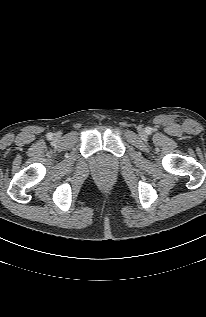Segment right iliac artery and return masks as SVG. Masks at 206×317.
<instances>
[{"label": "right iliac artery", "mask_w": 206, "mask_h": 317, "mask_svg": "<svg viewBox=\"0 0 206 317\" xmlns=\"http://www.w3.org/2000/svg\"><path fill=\"white\" fill-rule=\"evenodd\" d=\"M52 137H53V134H52V133H48V134H47V138H48V139H51Z\"/></svg>", "instance_id": "obj_1"}]
</instances>
